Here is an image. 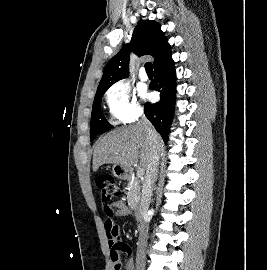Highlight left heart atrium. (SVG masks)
<instances>
[{"label":"left heart atrium","mask_w":267,"mask_h":270,"mask_svg":"<svg viewBox=\"0 0 267 270\" xmlns=\"http://www.w3.org/2000/svg\"><path fill=\"white\" fill-rule=\"evenodd\" d=\"M142 96L143 97H148V94L145 91H142Z\"/></svg>","instance_id":"left-heart-atrium-1"}]
</instances>
